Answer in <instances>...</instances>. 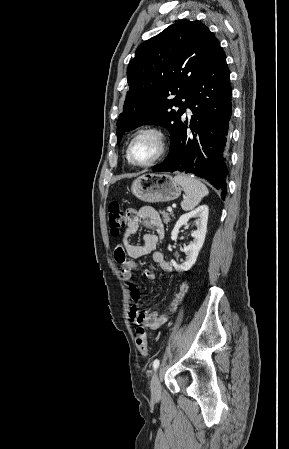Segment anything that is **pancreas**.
Wrapping results in <instances>:
<instances>
[{
	"label": "pancreas",
	"mask_w": 289,
	"mask_h": 449,
	"mask_svg": "<svg viewBox=\"0 0 289 449\" xmlns=\"http://www.w3.org/2000/svg\"><path fill=\"white\" fill-rule=\"evenodd\" d=\"M160 214L162 215L163 221H164V223H166V224H168V223L171 221V217L173 216V213H172V212L167 213V212H165V211H160Z\"/></svg>",
	"instance_id": "pancreas-1"
}]
</instances>
